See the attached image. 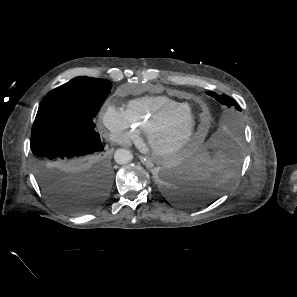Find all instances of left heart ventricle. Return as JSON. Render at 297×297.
Returning a JSON list of instances; mask_svg holds the SVG:
<instances>
[{
    "label": "left heart ventricle",
    "instance_id": "1",
    "mask_svg": "<svg viewBox=\"0 0 297 297\" xmlns=\"http://www.w3.org/2000/svg\"><path fill=\"white\" fill-rule=\"evenodd\" d=\"M193 120H196V117H185L170 124L163 132L158 135L156 140L157 144L160 146H170L181 140L185 136Z\"/></svg>",
    "mask_w": 297,
    "mask_h": 297
}]
</instances>
